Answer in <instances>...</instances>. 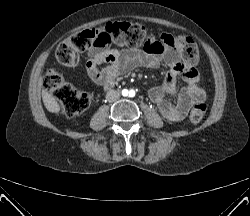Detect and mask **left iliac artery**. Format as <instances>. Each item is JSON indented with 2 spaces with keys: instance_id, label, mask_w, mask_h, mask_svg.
Returning a JSON list of instances; mask_svg holds the SVG:
<instances>
[{
  "instance_id": "left-iliac-artery-1",
  "label": "left iliac artery",
  "mask_w": 250,
  "mask_h": 216,
  "mask_svg": "<svg viewBox=\"0 0 250 216\" xmlns=\"http://www.w3.org/2000/svg\"><path fill=\"white\" fill-rule=\"evenodd\" d=\"M129 95L133 97L135 95V92L133 90L130 91Z\"/></svg>"
}]
</instances>
